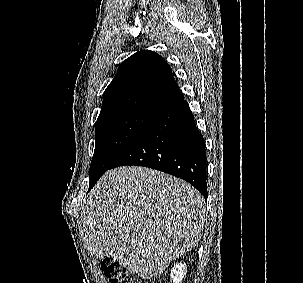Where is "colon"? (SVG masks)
Here are the masks:
<instances>
[{
	"instance_id": "obj_1",
	"label": "colon",
	"mask_w": 303,
	"mask_h": 283,
	"mask_svg": "<svg viewBox=\"0 0 303 283\" xmlns=\"http://www.w3.org/2000/svg\"><path fill=\"white\" fill-rule=\"evenodd\" d=\"M101 270L110 283H142L130 276L118 262L109 258L101 261Z\"/></svg>"
}]
</instances>
